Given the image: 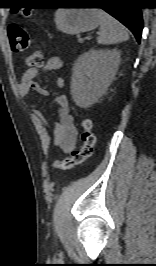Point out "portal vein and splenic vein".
Segmentation results:
<instances>
[{
	"label": "portal vein and splenic vein",
	"instance_id": "18ae733b",
	"mask_svg": "<svg viewBox=\"0 0 156 266\" xmlns=\"http://www.w3.org/2000/svg\"><path fill=\"white\" fill-rule=\"evenodd\" d=\"M79 42H83V39H79Z\"/></svg>",
	"mask_w": 156,
	"mask_h": 266
}]
</instances>
